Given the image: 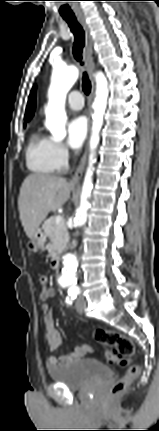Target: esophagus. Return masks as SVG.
Listing matches in <instances>:
<instances>
[{"mask_svg":"<svg viewBox=\"0 0 159 431\" xmlns=\"http://www.w3.org/2000/svg\"><path fill=\"white\" fill-rule=\"evenodd\" d=\"M84 33H85V45L83 48V59L86 63L88 72H89V76L91 79V94H90V98H89V122H88V127H89V131H90V125H91V103L94 97V92H95V81H94V72H95V63H94V57H93V39L92 36L90 34V29L88 27V25L86 24L85 20L83 17H79L78 18ZM87 153H88V147H86V150L80 160V163L72 177V182H77L82 174L83 171L85 169V165H86V160H87Z\"/></svg>","mask_w":159,"mask_h":431,"instance_id":"34e87169","label":"esophagus"}]
</instances>
